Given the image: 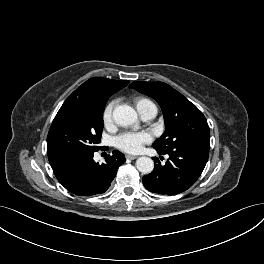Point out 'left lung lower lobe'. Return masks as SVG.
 <instances>
[{"label": "left lung lower lobe", "instance_id": "obj_1", "mask_svg": "<svg viewBox=\"0 0 264 264\" xmlns=\"http://www.w3.org/2000/svg\"><path fill=\"white\" fill-rule=\"evenodd\" d=\"M157 152L168 154L169 159L161 165L158 158H154V170L142 178L143 184L150 192L176 195L187 190L199 178L208 160L209 147L185 143L169 151Z\"/></svg>", "mask_w": 264, "mask_h": 264}]
</instances>
